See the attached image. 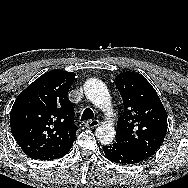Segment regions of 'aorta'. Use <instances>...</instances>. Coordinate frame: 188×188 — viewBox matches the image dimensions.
<instances>
[{
  "label": "aorta",
  "mask_w": 188,
  "mask_h": 188,
  "mask_svg": "<svg viewBox=\"0 0 188 188\" xmlns=\"http://www.w3.org/2000/svg\"><path fill=\"white\" fill-rule=\"evenodd\" d=\"M87 98L107 114H112L110 94L106 85L99 79H89L84 84ZM96 137L104 144H110L115 137V128L111 124H102L96 128Z\"/></svg>",
  "instance_id": "762f6f07"
}]
</instances>
